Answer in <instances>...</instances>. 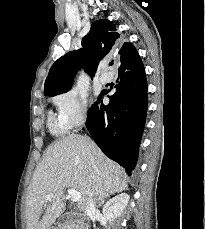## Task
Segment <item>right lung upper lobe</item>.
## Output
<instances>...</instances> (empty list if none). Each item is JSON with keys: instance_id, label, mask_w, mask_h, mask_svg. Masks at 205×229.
Segmentation results:
<instances>
[{"instance_id": "obj_1", "label": "right lung upper lobe", "mask_w": 205, "mask_h": 229, "mask_svg": "<svg viewBox=\"0 0 205 229\" xmlns=\"http://www.w3.org/2000/svg\"><path fill=\"white\" fill-rule=\"evenodd\" d=\"M120 35L116 26L107 19L92 23L89 33L82 39V49L73 50L60 57L51 67L44 86L45 96H55L67 92L80 67L92 77L100 61L118 48ZM120 69L135 65L140 56L130 42H125L118 51Z\"/></svg>"}]
</instances>
